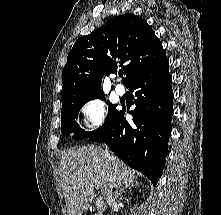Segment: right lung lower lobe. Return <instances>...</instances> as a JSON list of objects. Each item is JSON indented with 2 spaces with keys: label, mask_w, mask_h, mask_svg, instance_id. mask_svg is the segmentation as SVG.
I'll list each match as a JSON object with an SVG mask.
<instances>
[{
  "label": "right lung lower lobe",
  "mask_w": 221,
  "mask_h": 215,
  "mask_svg": "<svg viewBox=\"0 0 221 215\" xmlns=\"http://www.w3.org/2000/svg\"><path fill=\"white\" fill-rule=\"evenodd\" d=\"M129 89L136 105L124 118L125 107L113 123L89 140L106 143L127 165L146 175L154 186L161 177L168 154V137L173 115V91L167 57L135 78Z\"/></svg>",
  "instance_id": "obj_1"
}]
</instances>
